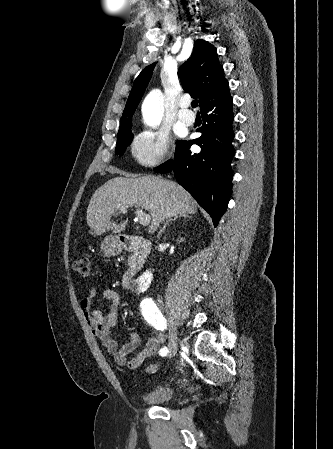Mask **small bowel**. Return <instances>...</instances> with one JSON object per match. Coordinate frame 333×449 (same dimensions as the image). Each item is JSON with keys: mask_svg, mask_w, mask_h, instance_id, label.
<instances>
[{"mask_svg": "<svg viewBox=\"0 0 333 449\" xmlns=\"http://www.w3.org/2000/svg\"><path fill=\"white\" fill-rule=\"evenodd\" d=\"M120 305L121 298L115 290L104 289L99 292L96 287L90 288L80 303L92 334L101 341L113 361L118 366L136 369L158 350L160 341L155 337L147 338L140 352L129 360L128 355L139 347L141 337L132 333L120 344L114 336L113 330L117 326Z\"/></svg>", "mask_w": 333, "mask_h": 449, "instance_id": "1", "label": "small bowel"}]
</instances>
